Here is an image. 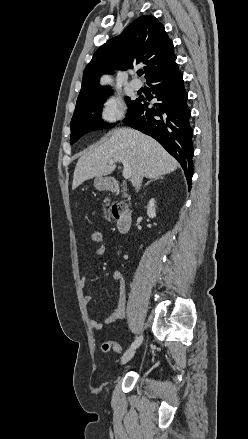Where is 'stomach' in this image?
<instances>
[{"label":"stomach","mask_w":248,"mask_h":439,"mask_svg":"<svg viewBox=\"0 0 248 439\" xmlns=\"http://www.w3.org/2000/svg\"><path fill=\"white\" fill-rule=\"evenodd\" d=\"M109 182V178L98 176L94 179V186L98 190H106L109 187Z\"/></svg>","instance_id":"1"}]
</instances>
